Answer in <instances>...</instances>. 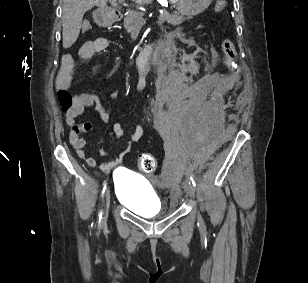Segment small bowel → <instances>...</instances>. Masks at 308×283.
Returning a JSON list of instances; mask_svg holds the SVG:
<instances>
[{
  "label": "small bowel",
  "instance_id": "c3829d8e",
  "mask_svg": "<svg viewBox=\"0 0 308 283\" xmlns=\"http://www.w3.org/2000/svg\"><path fill=\"white\" fill-rule=\"evenodd\" d=\"M109 47V41L106 38H97L92 41H88L80 48V55L84 58H90L97 53L105 51ZM74 80V64L71 58L66 57L62 60L60 70L56 78V84L59 90H68L71 88ZM112 98L117 97V92L112 93ZM86 107H94L96 112L99 114L100 118L104 122H108L111 117V113L108 109L104 108L101 104L99 97L94 93H81L74 97L73 106L71 109L67 110V123L72 126L74 124V119L81 115ZM113 131L116 136L122 137L125 134L124 128L121 124L116 123L113 126ZM144 129L141 125H138L131 135V141L136 142L143 136ZM70 143L75 149L77 155L83 159L88 166L95 167L96 161L94 158L89 157L85 150V140L72 131L69 136ZM129 149L121 153V155L115 160L101 164L100 168L102 171L107 172L119 165L122 162L123 156L128 152ZM101 154L105 155L106 152L101 150Z\"/></svg>",
  "mask_w": 308,
  "mask_h": 283
}]
</instances>
